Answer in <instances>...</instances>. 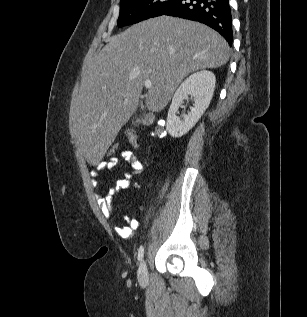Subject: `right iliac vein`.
Segmentation results:
<instances>
[{"mask_svg": "<svg viewBox=\"0 0 307 317\" xmlns=\"http://www.w3.org/2000/svg\"><path fill=\"white\" fill-rule=\"evenodd\" d=\"M137 276H138V281L141 285H146L148 283L149 276H148V270H147V265L145 261L141 262L138 269Z\"/></svg>", "mask_w": 307, "mask_h": 317, "instance_id": "1", "label": "right iliac vein"}]
</instances>
